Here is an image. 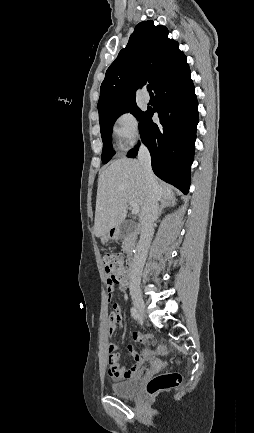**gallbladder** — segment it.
I'll return each instance as SVG.
<instances>
[{
    "label": "gallbladder",
    "mask_w": 254,
    "mask_h": 433,
    "mask_svg": "<svg viewBox=\"0 0 254 433\" xmlns=\"http://www.w3.org/2000/svg\"><path fill=\"white\" fill-rule=\"evenodd\" d=\"M135 230V226L132 222H126L123 223L120 226V230L118 232V238H122L123 236H126L127 234L132 233Z\"/></svg>",
    "instance_id": "gallbladder-1"
}]
</instances>
